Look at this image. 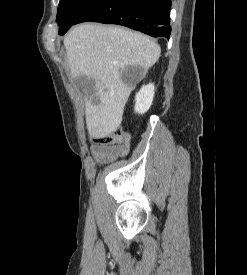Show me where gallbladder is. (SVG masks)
<instances>
[{"mask_svg": "<svg viewBox=\"0 0 247 275\" xmlns=\"http://www.w3.org/2000/svg\"><path fill=\"white\" fill-rule=\"evenodd\" d=\"M75 83L85 92L89 97L96 92L95 80L88 78L85 75H80L75 78Z\"/></svg>", "mask_w": 247, "mask_h": 275, "instance_id": "1", "label": "gallbladder"}]
</instances>
